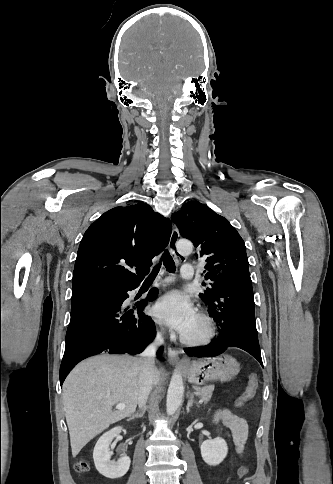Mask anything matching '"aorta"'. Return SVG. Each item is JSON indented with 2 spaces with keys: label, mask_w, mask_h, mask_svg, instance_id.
I'll return each instance as SVG.
<instances>
[{
  "label": "aorta",
  "mask_w": 333,
  "mask_h": 484,
  "mask_svg": "<svg viewBox=\"0 0 333 484\" xmlns=\"http://www.w3.org/2000/svg\"><path fill=\"white\" fill-rule=\"evenodd\" d=\"M177 250L182 254H189L192 251V244L186 240L177 243ZM184 386L180 371H176L170 381L167 393L166 411L168 415H173L179 408L183 398Z\"/></svg>",
  "instance_id": "aorta-1"
}]
</instances>
